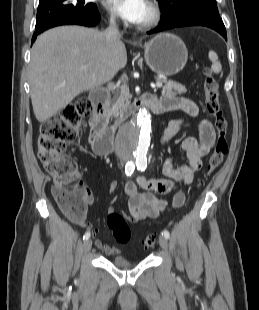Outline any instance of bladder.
Segmentation results:
<instances>
[{"label":"bladder","instance_id":"obj_1","mask_svg":"<svg viewBox=\"0 0 259 310\" xmlns=\"http://www.w3.org/2000/svg\"><path fill=\"white\" fill-rule=\"evenodd\" d=\"M111 262L113 265H115L119 268H123V269H127V268H130L132 266V263L130 261H128L126 258H124L123 256H120V255H116V256L112 257Z\"/></svg>","mask_w":259,"mask_h":310}]
</instances>
